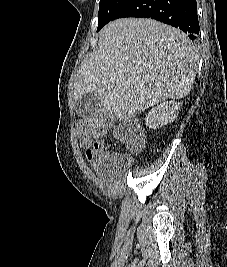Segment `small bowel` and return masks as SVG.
Instances as JSON below:
<instances>
[{"instance_id":"obj_1","label":"small bowel","mask_w":227,"mask_h":267,"mask_svg":"<svg viewBox=\"0 0 227 267\" xmlns=\"http://www.w3.org/2000/svg\"><path fill=\"white\" fill-rule=\"evenodd\" d=\"M115 134L118 136L117 131ZM81 146L85 148L88 160L92 163L94 168L99 171L104 161V157H106L100 152L101 144H95L91 141V139L83 138Z\"/></svg>"}]
</instances>
